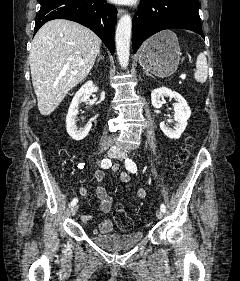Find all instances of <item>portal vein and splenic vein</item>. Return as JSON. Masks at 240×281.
<instances>
[{"mask_svg": "<svg viewBox=\"0 0 240 281\" xmlns=\"http://www.w3.org/2000/svg\"><path fill=\"white\" fill-rule=\"evenodd\" d=\"M180 78L181 79H185L186 78V74L185 73L180 74Z\"/></svg>", "mask_w": 240, "mask_h": 281, "instance_id": "obj_1", "label": "portal vein and splenic vein"}]
</instances>
